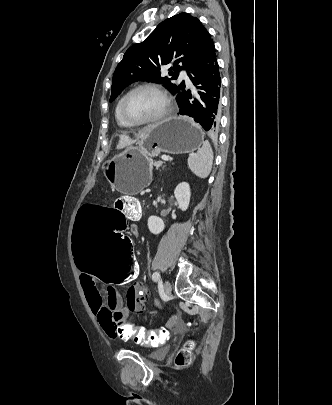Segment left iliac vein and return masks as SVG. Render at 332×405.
Masks as SVG:
<instances>
[{"label":"left iliac vein","mask_w":332,"mask_h":405,"mask_svg":"<svg viewBox=\"0 0 332 405\" xmlns=\"http://www.w3.org/2000/svg\"><path fill=\"white\" fill-rule=\"evenodd\" d=\"M163 291H164V294H165L166 296H169V295L171 294L172 287H171V283H170L168 280H166V281L164 282Z\"/></svg>","instance_id":"left-iliac-vein-1"}]
</instances>
